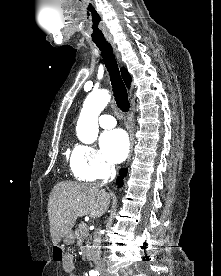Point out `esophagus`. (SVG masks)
<instances>
[{"instance_id":"esophagus-1","label":"esophagus","mask_w":221,"mask_h":276,"mask_svg":"<svg viewBox=\"0 0 221 276\" xmlns=\"http://www.w3.org/2000/svg\"><path fill=\"white\" fill-rule=\"evenodd\" d=\"M111 45H112L113 48H114V52H115V54H116L117 59L120 60V55H119V53H118V51H117V49H116V46H115L114 43H112V42H111Z\"/></svg>"}]
</instances>
